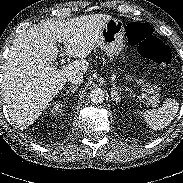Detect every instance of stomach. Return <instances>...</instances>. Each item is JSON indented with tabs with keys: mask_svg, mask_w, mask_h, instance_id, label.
Masks as SVG:
<instances>
[{
	"mask_svg": "<svg viewBox=\"0 0 183 183\" xmlns=\"http://www.w3.org/2000/svg\"><path fill=\"white\" fill-rule=\"evenodd\" d=\"M125 34V26L118 19L109 20L100 31L96 45L103 50L110 58L118 56L123 50V39ZM128 81L132 80L131 76H127Z\"/></svg>",
	"mask_w": 183,
	"mask_h": 183,
	"instance_id": "stomach-1",
	"label": "stomach"
}]
</instances>
